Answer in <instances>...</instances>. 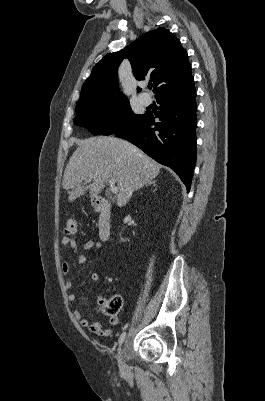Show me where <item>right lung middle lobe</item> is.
Instances as JSON below:
<instances>
[{"label":"right lung middle lobe","mask_w":265,"mask_h":401,"mask_svg":"<svg viewBox=\"0 0 265 401\" xmlns=\"http://www.w3.org/2000/svg\"><path fill=\"white\" fill-rule=\"evenodd\" d=\"M117 109V112H110ZM74 124L89 129L94 135H111L140 121L143 115L131 111L122 96L102 95L76 105Z\"/></svg>","instance_id":"dd1d6c3e"}]
</instances>
